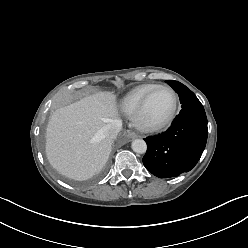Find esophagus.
<instances>
[{
	"instance_id": "obj_1",
	"label": "esophagus",
	"mask_w": 248,
	"mask_h": 248,
	"mask_svg": "<svg viewBox=\"0 0 248 248\" xmlns=\"http://www.w3.org/2000/svg\"><path fill=\"white\" fill-rule=\"evenodd\" d=\"M127 135L131 139H134V138H137L138 137V135L135 132H133V131H128L127 132Z\"/></svg>"
}]
</instances>
